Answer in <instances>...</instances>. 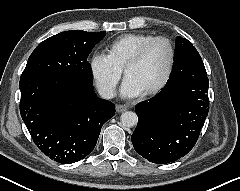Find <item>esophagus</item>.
<instances>
[{
    "mask_svg": "<svg viewBox=\"0 0 240 191\" xmlns=\"http://www.w3.org/2000/svg\"><path fill=\"white\" fill-rule=\"evenodd\" d=\"M127 110V106L125 105H116V111L121 113Z\"/></svg>",
    "mask_w": 240,
    "mask_h": 191,
    "instance_id": "obj_1",
    "label": "esophagus"
}]
</instances>
